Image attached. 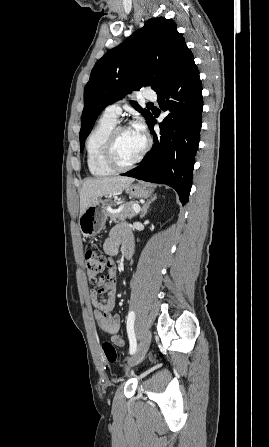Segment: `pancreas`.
Returning a JSON list of instances; mask_svg holds the SVG:
<instances>
[{"label": "pancreas", "mask_w": 269, "mask_h": 447, "mask_svg": "<svg viewBox=\"0 0 269 447\" xmlns=\"http://www.w3.org/2000/svg\"><path fill=\"white\" fill-rule=\"evenodd\" d=\"M133 204H137V202H127V204H124L121 212H117V214H111V212H107V216H109L110 220H113V222L126 220V218H134L135 212L132 208ZM115 210H117V208H115Z\"/></svg>", "instance_id": "pancreas-1"}]
</instances>
